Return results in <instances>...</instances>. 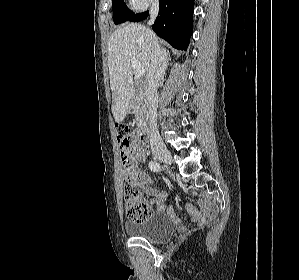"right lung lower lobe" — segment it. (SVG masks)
Wrapping results in <instances>:
<instances>
[{
	"instance_id": "right-lung-lower-lobe-1",
	"label": "right lung lower lobe",
	"mask_w": 299,
	"mask_h": 280,
	"mask_svg": "<svg viewBox=\"0 0 299 280\" xmlns=\"http://www.w3.org/2000/svg\"><path fill=\"white\" fill-rule=\"evenodd\" d=\"M193 9L194 0H160L153 31L173 47L186 50L193 30ZM148 15V11L134 13L129 21L139 22Z\"/></svg>"
}]
</instances>
